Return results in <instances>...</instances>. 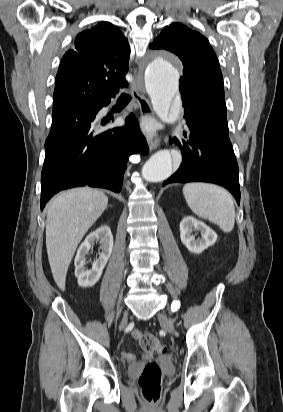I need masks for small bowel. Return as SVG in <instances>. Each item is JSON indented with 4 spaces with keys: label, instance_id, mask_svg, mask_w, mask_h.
I'll use <instances>...</instances> for the list:
<instances>
[{
    "label": "small bowel",
    "instance_id": "1",
    "mask_svg": "<svg viewBox=\"0 0 283 412\" xmlns=\"http://www.w3.org/2000/svg\"><path fill=\"white\" fill-rule=\"evenodd\" d=\"M140 335H141V331H139V330L132 331V336L133 337L139 338ZM123 356L127 361H133L135 359L134 355H132L131 353H128V352H124Z\"/></svg>",
    "mask_w": 283,
    "mask_h": 412
}]
</instances>
